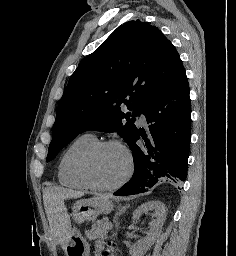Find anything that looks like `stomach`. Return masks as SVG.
<instances>
[{
  "label": "stomach",
  "mask_w": 236,
  "mask_h": 256,
  "mask_svg": "<svg viewBox=\"0 0 236 256\" xmlns=\"http://www.w3.org/2000/svg\"><path fill=\"white\" fill-rule=\"evenodd\" d=\"M113 209V203L107 197H93L78 200L73 206V219L80 224L84 221H94L101 214H108ZM66 256H89L90 247L78 229L74 228L66 246Z\"/></svg>",
  "instance_id": "0dacf381"
}]
</instances>
